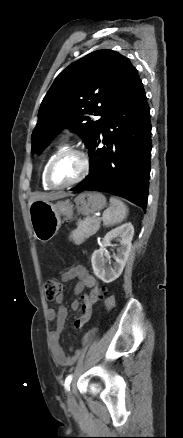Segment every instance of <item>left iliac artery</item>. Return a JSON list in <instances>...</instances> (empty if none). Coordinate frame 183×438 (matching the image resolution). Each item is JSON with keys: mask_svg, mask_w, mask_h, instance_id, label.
Instances as JSON below:
<instances>
[{"mask_svg": "<svg viewBox=\"0 0 183 438\" xmlns=\"http://www.w3.org/2000/svg\"><path fill=\"white\" fill-rule=\"evenodd\" d=\"M71 381H72V375H69V376L65 379V383H64V386H65V389H66V390H69V389H70V383H71Z\"/></svg>", "mask_w": 183, "mask_h": 438, "instance_id": "left-iliac-artery-1", "label": "left iliac artery"}]
</instances>
